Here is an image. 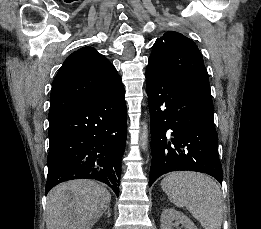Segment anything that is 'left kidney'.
I'll list each match as a JSON object with an SVG mask.
<instances>
[{
    "mask_svg": "<svg viewBox=\"0 0 261 229\" xmlns=\"http://www.w3.org/2000/svg\"><path fill=\"white\" fill-rule=\"evenodd\" d=\"M160 221V229H173L176 225H181L184 229H197L186 215H183L180 211H175V209H164L161 213Z\"/></svg>",
    "mask_w": 261,
    "mask_h": 229,
    "instance_id": "left-kidney-1",
    "label": "left kidney"
}]
</instances>
